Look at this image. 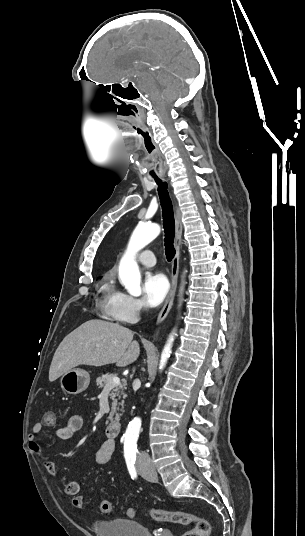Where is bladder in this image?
<instances>
[{
  "label": "bladder",
  "mask_w": 305,
  "mask_h": 536,
  "mask_svg": "<svg viewBox=\"0 0 305 536\" xmlns=\"http://www.w3.org/2000/svg\"><path fill=\"white\" fill-rule=\"evenodd\" d=\"M92 529L96 536H152L139 521L122 517L95 520Z\"/></svg>",
  "instance_id": "1"
}]
</instances>
